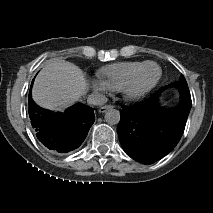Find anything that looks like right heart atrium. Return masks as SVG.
<instances>
[{
  "label": "right heart atrium",
  "instance_id": "d8ad5b80",
  "mask_svg": "<svg viewBox=\"0 0 213 213\" xmlns=\"http://www.w3.org/2000/svg\"><path fill=\"white\" fill-rule=\"evenodd\" d=\"M92 88L96 92L104 93L107 92L110 88L108 84L102 78H96L92 81Z\"/></svg>",
  "mask_w": 213,
  "mask_h": 213
}]
</instances>
